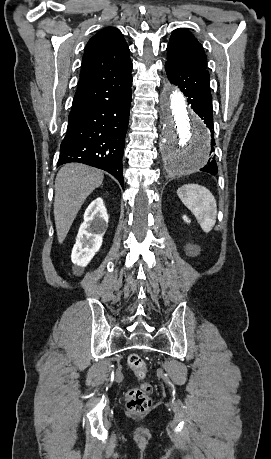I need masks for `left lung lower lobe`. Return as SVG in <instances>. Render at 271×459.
Listing matches in <instances>:
<instances>
[{
	"mask_svg": "<svg viewBox=\"0 0 271 459\" xmlns=\"http://www.w3.org/2000/svg\"><path fill=\"white\" fill-rule=\"evenodd\" d=\"M165 70L171 83L178 85L188 97L191 108L204 120L211 133V152L214 151V125L212 96L210 93V76L207 70L191 69L180 65L165 63ZM200 171L217 174L218 167L215 156L211 155L208 164Z\"/></svg>",
	"mask_w": 271,
	"mask_h": 459,
	"instance_id": "obj_1",
	"label": "left lung lower lobe"
}]
</instances>
